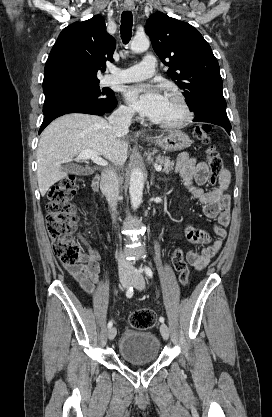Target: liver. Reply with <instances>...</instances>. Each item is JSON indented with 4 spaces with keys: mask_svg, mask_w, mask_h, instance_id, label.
I'll list each match as a JSON object with an SVG mask.
<instances>
[{
    "mask_svg": "<svg viewBox=\"0 0 272 417\" xmlns=\"http://www.w3.org/2000/svg\"><path fill=\"white\" fill-rule=\"evenodd\" d=\"M126 136L127 132L95 115L69 114L53 121L42 132L37 148L41 195L67 175L62 164L84 150L96 151L114 165H123L128 150Z\"/></svg>",
    "mask_w": 272,
    "mask_h": 417,
    "instance_id": "liver-1",
    "label": "liver"
}]
</instances>
